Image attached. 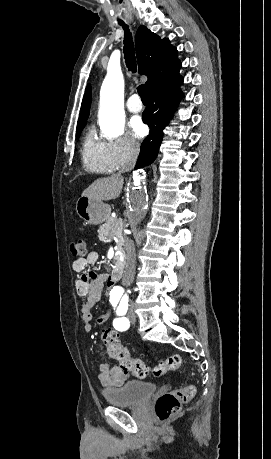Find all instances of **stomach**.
<instances>
[{"label":"stomach","instance_id":"obj_1","mask_svg":"<svg viewBox=\"0 0 271 459\" xmlns=\"http://www.w3.org/2000/svg\"><path fill=\"white\" fill-rule=\"evenodd\" d=\"M76 212L79 218L85 220V224H103L110 218V208L101 200H90V198H79L76 204Z\"/></svg>","mask_w":271,"mask_h":459}]
</instances>
